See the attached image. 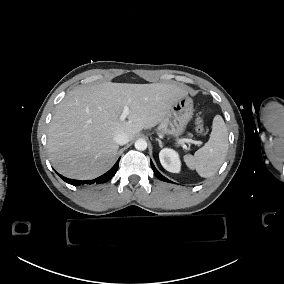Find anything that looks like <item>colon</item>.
Returning a JSON list of instances; mask_svg holds the SVG:
<instances>
[{"mask_svg": "<svg viewBox=\"0 0 284 284\" xmlns=\"http://www.w3.org/2000/svg\"><path fill=\"white\" fill-rule=\"evenodd\" d=\"M196 131L199 135L204 134V123L202 118L199 116L196 119V125H195Z\"/></svg>", "mask_w": 284, "mask_h": 284, "instance_id": "1", "label": "colon"}]
</instances>
